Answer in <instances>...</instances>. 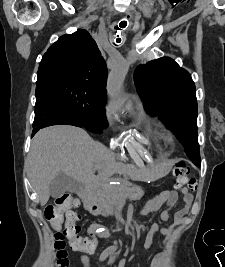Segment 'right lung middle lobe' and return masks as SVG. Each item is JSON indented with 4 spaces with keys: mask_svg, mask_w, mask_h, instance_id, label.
Instances as JSON below:
<instances>
[{
    "mask_svg": "<svg viewBox=\"0 0 225 267\" xmlns=\"http://www.w3.org/2000/svg\"><path fill=\"white\" fill-rule=\"evenodd\" d=\"M36 90L47 92L88 131L101 134L108 127L106 96L92 86L64 77H46L37 80Z\"/></svg>",
    "mask_w": 225,
    "mask_h": 267,
    "instance_id": "1",
    "label": "right lung middle lobe"
}]
</instances>
